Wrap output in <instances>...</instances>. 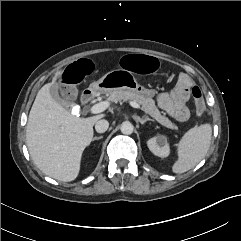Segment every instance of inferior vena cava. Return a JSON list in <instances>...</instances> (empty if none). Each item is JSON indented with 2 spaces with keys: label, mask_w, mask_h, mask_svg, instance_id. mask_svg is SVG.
I'll return each mask as SVG.
<instances>
[{
  "label": "inferior vena cava",
  "mask_w": 241,
  "mask_h": 241,
  "mask_svg": "<svg viewBox=\"0 0 241 241\" xmlns=\"http://www.w3.org/2000/svg\"><path fill=\"white\" fill-rule=\"evenodd\" d=\"M109 127V122L105 119H102V120H99L96 122L95 124V130L98 132V133H104L107 131Z\"/></svg>",
  "instance_id": "602c4592"
}]
</instances>
